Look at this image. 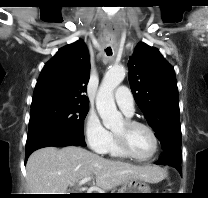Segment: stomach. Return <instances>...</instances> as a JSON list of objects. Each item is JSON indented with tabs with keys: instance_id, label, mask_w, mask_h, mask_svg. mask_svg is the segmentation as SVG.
<instances>
[{
	"instance_id": "0dacf381",
	"label": "stomach",
	"mask_w": 208,
	"mask_h": 198,
	"mask_svg": "<svg viewBox=\"0 0 208 198\" xmlns=\"http://www.w3.org/2000/svg\"><path fill=\"white\" fill-rule=\"evenodd\" d=\"M122 197L125 198H145L146 194H133V193H151L150 187L145 181L139 179H132L123 184L118 191Z\"/></svg>"
}]
</instances>
